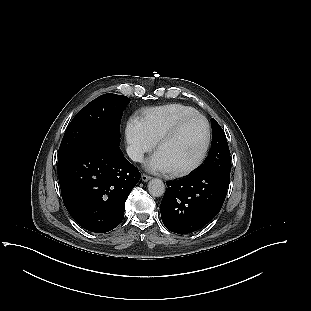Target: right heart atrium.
<instances>
[{"instance_id": "right-heart-atrium-1", "label": "right heart atrium", "mask_w": 311, "mask_h": 311, "mask_svg": "<svg viewBox=\"0 0 311 311\" xmlns=\"http://www.w3.org/2000/svg\"><path fill=\"white\" fill-rule=\"evenodd\" d=\"M127 151L132 160L140 162L155 143L148 136L141 119L130 117L125 126Z\"/></svg>"}]
</instances>
